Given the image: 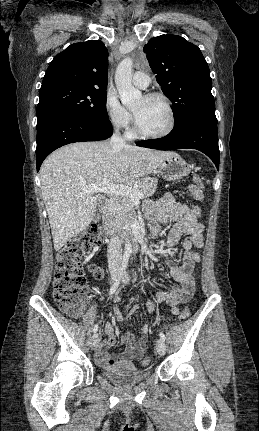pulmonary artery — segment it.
<instances>
[{
    "instance_id": "pulmonary-artery-1",
    "label": "pulmonary artery",
    "mask_w": 259,
    "mask_h": 431,
    "mask_svg": "<svg viewBox=\"0 0 259 431\" xmlns=\"http://www.w3.org/2000/svg\"><path fill=\"white\" fill-rule=\"evenodd\" d=\"M133 84L141 89H145L149 85V76L144 72H136L133 76Z\"/></svg>"
}]
</instances>
